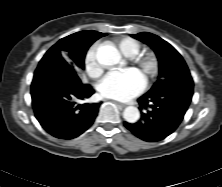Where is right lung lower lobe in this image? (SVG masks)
I'll return each mask as SVG.
<instances>
[{
  "mask_svg": "<svg viewBox=\"0 0 222 187\" xmlns=\"http://www.w3.org/2000/svg\"><path fill=\"white\" fill-rule=\"evenodd\" d=\"M93 93L62 57H43L31 85L35 117L52 136L73 139L86 131L98 114L99 103H80Z\"/></svg>",
  "mask_w": 222,
  "mask_h": 187,
  "instance_id": "right-lung-lower-lobe-1",
  "label": "right lung lower lobe"
}]
</instances>
